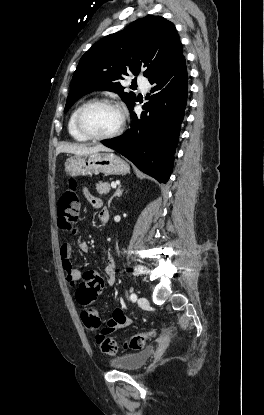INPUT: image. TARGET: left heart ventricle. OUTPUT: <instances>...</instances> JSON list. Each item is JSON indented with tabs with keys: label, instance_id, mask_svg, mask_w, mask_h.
<instances>
[{
	"label": "left heart ventricle",
	"instance_id": "1",
	"mask_svg": "<svg viewBox=\"0 0 264 415\" xmlns=\"http://www.w3.org/2000/svg\"><path fill=\"white\" fill-rule=\"evenodd\" d=\"M120 111L111 106H97L89 109L83 116L85 128L97 135L109 134L120 124Z\"/></svg>",
	"mask_w": 264,
	"mask_h": 415
}]
</instances>
